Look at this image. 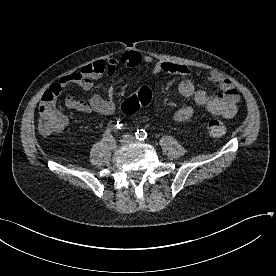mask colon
Masks as SVG:
<instances>
[{
  "label": "colon",
  "mask_w": 276,
  "mask_h": 276,
  "mask_svg": "<svg viewBox=\"0 0 276 276\" xmlns=\"http://www.w3.org/2000/svg\"><path fill=\"white\" fill-rule=\"evenodd\" d=\"M46 95L45 101L39 105V130L49 136L61 132L66 125V117L58 108L56 99L62 92L61 85L54 84ZM152 90L149 86L140 87L133 95L126 98L121 106L123 113L133 114L150 103ZM226 123L217 118L206 123V132L213 137H221L226 133Z\"/></svg>",
  "instance_id": "1"
}]
</instances>
